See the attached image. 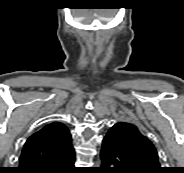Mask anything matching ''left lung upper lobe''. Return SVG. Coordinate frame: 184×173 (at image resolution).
I'll return each mask as SVG.
<instances>
[{
    "label": "left lung upper lobe",
    "mask_w": 184,
    "mask_h": 173,
    "mask_svg": "<svg viewBox=\"0 0 184 173\" xmlns=\"http://www.w3.org/2000/svg\"><path fill=\"white\" fill-rule=\"evenodd\" d=\"M115 149L136 173H162L157 151L139 129L128 122H117L107 132Z\"/></svg>",
    "instance_id": "1"
}]
</instances>
